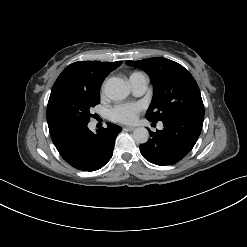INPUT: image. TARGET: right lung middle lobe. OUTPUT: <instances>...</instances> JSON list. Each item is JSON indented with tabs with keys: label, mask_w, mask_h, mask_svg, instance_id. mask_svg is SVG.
Here are the masks:
<instances>
[{
	"label": "right lung middle lobe",
	"mask_w": 247,
	"mask_h": 247,
	"mask_svg": "<svg viewBox=\"0 0 247 247\" xmlns=\"http://www.w3.org/2000/svg\"><path fill=\"white\" fill-rule=\"evenodd\" d=\"M99 103L100 91L66 86L52 92L47 105L50 136L87 126L94 117L91 109Z\"/></svg>",
	"instance_id": "obj_1"
}]
</instances>
